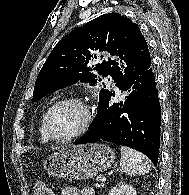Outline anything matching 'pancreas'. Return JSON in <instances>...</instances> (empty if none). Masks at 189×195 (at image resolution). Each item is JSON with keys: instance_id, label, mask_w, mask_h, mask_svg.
<instances>
[{"instance_id": "obj_1", "label": "pancreas", "mask_w": 189, "mask_h": 195, "mask_svg": "<svg viewBox=\"0 0 189 195\" xmlns=\"http://www.w3.org/2000/svg\"><path fill=\"white\" fill-rule=\"evenodd\" d=\"M95 186H96V187H102L103 185H102V184L96 183Z\"/></svg>"}]
</instances>
